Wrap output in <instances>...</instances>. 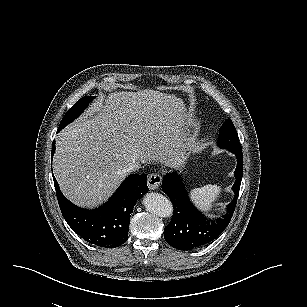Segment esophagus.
<instances>
[{
	"label": "esophagus",
	"instance_id": "obj_1",
	"mask_svg": "<svg viewBox=\"0 0 307 307\" xmlns=\"http://www.w3.org/2000/svg\"><path fill=\"white\" fill-rule=\"evenodd\" d=\"M162 177L159 174H151L147 180V186L150 190H157L161 185Z\"/></svg>",
	"mask_w": 307,
	"mask_h": 307
}]
</instances>
